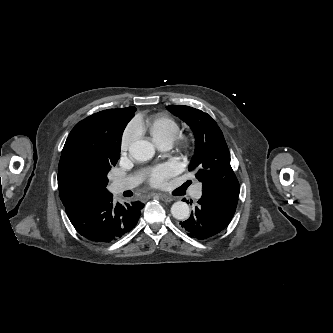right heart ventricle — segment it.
I'll list each match as a JSON object with an SVG mask.
<instances>
[{
  "label": "right heart ventricle",
  "instance_id": "1",
  "mask_svg": "<svg viewBox=\"0 0 333 333\" xmlns=\"http://www.w3.org/2000/svg\"><path fill=\"white\" fill-rule=\"evenodd\" d=\"M153 141L158 145L162 142L173 143L180 134L178 122L170 116L160 114L150 120L147 125Z\"/></svg>",
  "mask_w": 333,
  "mask_h": 333
}]
</instances>
